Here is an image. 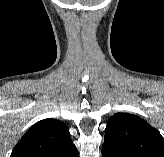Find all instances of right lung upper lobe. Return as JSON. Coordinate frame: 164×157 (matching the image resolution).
<instances>
[{"label": "right lung upper lobe", "mask_w": 164, "mask_h": 157, "mask_svg": "<svg viewBox=\"0 0 164 157\" xmlns=\"http://www.w3.org/2000/svg\"><path fill=\"white\" fill-rule=\"evenodd\" d=\"M71 145L73 142L65 123L44 119L24 134L10 157H54Z\"/></svg>", "instance_id": "right-lung-upper-lobe-1"}]
</instances>
